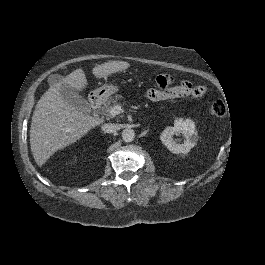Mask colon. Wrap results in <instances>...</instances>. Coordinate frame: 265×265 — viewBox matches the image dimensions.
Returning a JSON list of instances; mask_svg holds the SVG:
<instances>
[{"label": "colon", "mask_w": 265, "mask_h": 265, "mask_svg": "<svg viewBox=\"0 0 265 265\" xmlns=\"http://www.w3.org/2000/svg\"><path fill=\"white\" fill-rule=\"evenodd\" d=\"M156 83L159 87L167 88L174 83V78L169 74H160L156 77ZM209 111L211 115L218 118L226 116L228 112L226 104L221 100L213 102Z\"/></svg>", "instance_id": "1"}]
</instances>
